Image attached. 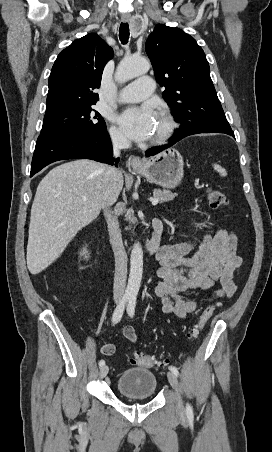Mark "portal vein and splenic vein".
<instances>
[{"label": "portal vein and splenic vein", "mask_w": 272, "mask_h": 452, "mask_svg": "<svg viewBox=\"0 0 272 452\" xmlns=\"http://www.w3.org/2000/svg\"><path fill=\"white\" fill-rule=\"evenodd\" d=\"M83 200L85 201L86 199H83ZM151 203H152L153 206L157 205L158 204V199L157 198H152L151 199ZM120 211H122V209H120ZM128 213H130V211H128Z\"/></svg>", "instance_id": "1"}]
</instances>
